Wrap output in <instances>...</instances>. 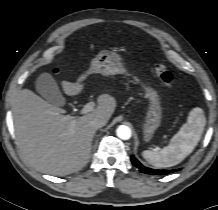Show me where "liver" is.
<instances>
[{
  "label": "liver",
  "mask_w": 218,
  "mask_h": 210,
  "mask_svg": "<svg viewBox=\"0 0 218 210\" xmlns=\"http://www.w3.org/2000/svg\"><path fill=\"white\" fill-rule=\"evenodd\" d=\"M64 92L78 95L84 85L62 81ZM116 107L110 94H102L98 105L80 117L65 115L64 110L49 104L29 89L17 95L13 121L17 142L27 160L39 171L64 176L82 169L91 155L95 129L93 118L109 120Z\"/></svg>",
  "instance_id": "1"
}]
</instances>
